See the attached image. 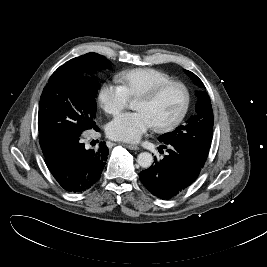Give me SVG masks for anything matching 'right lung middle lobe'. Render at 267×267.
I'll use <instances>...</instances> for the list:
<instances>
[{
  "mask_svg": "<svg viewBox=\"0 0 267 267\" xmlns=\"http://www.w3.org/2000/svg\"><path fill=\"white\" fill-rule=\"evenodd\" d=\"M106 57L87 53L60 66L44 88L38 113L42 151L58 146L64 139L95 129V98L99 84L84 76L109 68Z\"/></svg>",
  "mask_w": 267,
  "mask_h": 267,
  "instance_id": "dd1d6c3e",
  "label": "right lung middle lobe"
}]
</instances>
